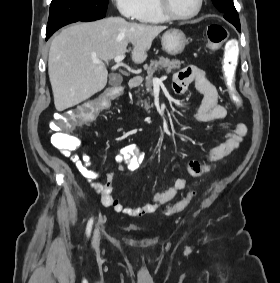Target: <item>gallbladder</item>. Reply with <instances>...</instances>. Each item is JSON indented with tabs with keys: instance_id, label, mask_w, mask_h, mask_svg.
<instances>
[{
	"instance_id": "bac80fb5",
	"label": "gallbladder",
	"mask_w": 280,
	"mask_h": 283,
	"mask_svg": "<svg viewBox=\"0 0 280 283\" xmlns=\"http://www.w3.org/2000/svg\"><path fill=\"white\" fill-rule=\"evenodd\" d=\"M122 82V77L117 75V74H114V73H111L110 76H109V85L111 86H119Z\"/></svg>"
}]
</instances>
